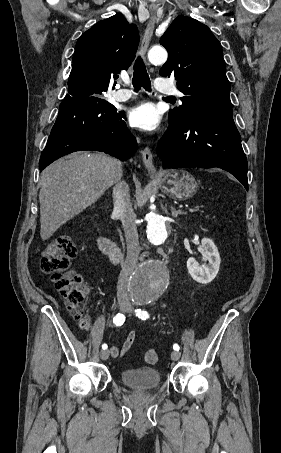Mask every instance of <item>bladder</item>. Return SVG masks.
Segmentation results:
<instances>
[{
    "instance_id": "obj_1",
    "label": "bladder",
    "mask_w": 281,
    "mask_h": 453,
    "mask_svg": "<svg viewBox=\"0 0 281 453\" xmlns=\"http://www.w3.org/2000/svg\"><path fill=\"white\" fill-rule=\"evenodd\" d=\"M121 381L135 389H151L160 384V373L153 368L125 369L120 373Z\"/></svg>"
}]
</instances>
